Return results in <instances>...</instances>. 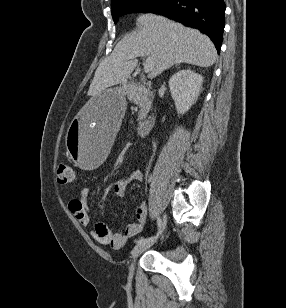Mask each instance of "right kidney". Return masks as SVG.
Listing matches in <instances>:
<instances>
[{
  "instance_id": "ca27d5eb",
  "label": "right kidney",
  "mask_w": 286,
  "mask_h": 308,
  "mask_svg": "<svg viewBox=\"0 0 286 308\" xmlns=\"http://www.w3.org/2000/svg\"><path fill=\"white\" fill-rule=\"evenodd\" d=\"M202 83V76L190 69L178 71L170 78L169 88L178 114L186 113L197 101Z\"/></svg>"
}]
</instances>
